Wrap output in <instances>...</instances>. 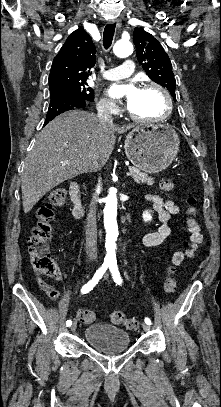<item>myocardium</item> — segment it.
<instances>
[{
    "label": "myocardium",
    "mask_w": 221,
    "mask_h": 407,
    "mask_svg": "<svg viewBox=\"0 0 221 407\" xmlns=\"http://www.w3.org/2000/svg\"><path fill=\"white\" fill-rule=\"evenodd\" d=\"M152 88L157 89L163 95L165 99V112L158 118H141L135 115L131 110H129L130 117L135 122L143 124H156L164 122L170 116L173 108V101L170 92L164 86L156 82H148L142 86V90H148Z\"/></svg>",
    "instance_id": "myocardium-1"
}]
</instances>
